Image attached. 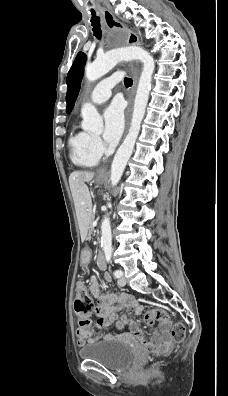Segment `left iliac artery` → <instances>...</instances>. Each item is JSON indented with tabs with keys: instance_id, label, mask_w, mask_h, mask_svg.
Wrapping results in <instances>:
<instances>
[{
	"instance_id": "obj_1",
	"label": "left iliac artery",
	"mask_w": 228,
	"mask_h": 396,
	"mask_svg": "<svg viewBox=\"0 0 228 396\" xmlns=\"http://www.w3.org/2000/svg\"><path fill=\"white\" fill-rule=\"evenodd\" d=\"M105 255H106V260L110 261L111 260V251H106ZM114 276L116 278H120L122 276V271L121 270H115L114 271Z\"/></svg>"
}]
</instances>
